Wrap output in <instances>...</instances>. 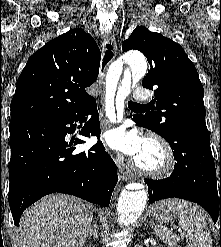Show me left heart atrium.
<instances>
[{
  "mask_svg": "<svg viewBox=\"0 0 221 247\" xmlns=\"http://www.w3.org/2000/svg\"><path fill=\"white\" fill-rule=\"evenodd\" d=\"M103 139L112 149L134 158L138 156L146 142L136 130H127L123 126L106 131Z\"/></svg>",
  "mask_w": 221,
  "mask_h": 247,
  "instance_id": "39dd6f15",
  "label": "left heart atrium"
}]
</instances>
